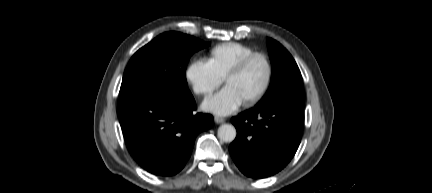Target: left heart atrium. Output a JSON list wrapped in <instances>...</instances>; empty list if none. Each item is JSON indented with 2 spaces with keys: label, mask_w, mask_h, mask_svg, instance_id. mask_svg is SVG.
Instances as JSON below:
<instances>
[{
  "label": "left heart atrium",
  "mask_w": 432,
  "mask_h": 193,
  "mask_svg": "<svg viewBox=\"0 0 432 193\" xmlns=\"http://www.w3.org/2000/svg\"><path fill=\"white\" fill-rule=\"evenodd\" d=\"M241 103L238 94L230 87H226L218 96L205 103L207 109L218 114H226L235 110Z\"/></svg>",
  "instance_id": "left-heart-atrium-1"
}]
</instances>
